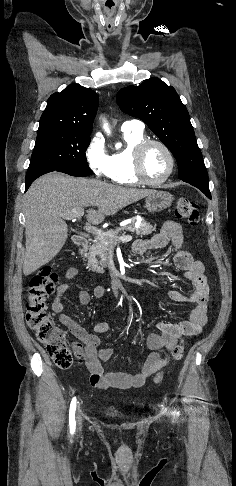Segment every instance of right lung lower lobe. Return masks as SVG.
<instances>
[{"mask_svg":"<svg viewBox=\"0 0 236 486\" xmlns=\"http://www.w3.org/2000/svg\"><path fill=\"white\" fill-rule=\"evenodd\" d=\"M52 171H58V170L43 169V170H36V171L30 172V173H27L26 180H25V191H27V189L29 188L31 183L36 178H38L39 176H41L43 174L52 172ZM59 172H63V173L69 174L71 176H77V177L87 176V174L76 173V172H68V171H59Z\"/></svg>","mask_w":236,"mask_h":486,"instance_id":"1","label":"right lung lower lobe"}]
</instances>
